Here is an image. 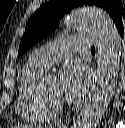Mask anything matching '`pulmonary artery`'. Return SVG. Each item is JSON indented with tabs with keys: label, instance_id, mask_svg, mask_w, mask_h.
Returning a JSON list of instances; mask_svg holds the SVG:
<instances>
[{
	"label": "pulmonary artery",
	"instance_id": "pulmonary-artery-1",
	"mask_svg": "<svg viewBox=\"0 0 125 128\" xmlns=\"http://www.w3.org/2000/svg\"><path fill=\"white\" fill-rule=\"evenodd\" d=\"M94 44V37L90 34H77L62 38L55 44L41 47L34 51L30 60L46 69L61 58L80 50H86Z\"/></svg>",
	"mask_w": 125,
	"mask_h": 128
}]
</instances>
